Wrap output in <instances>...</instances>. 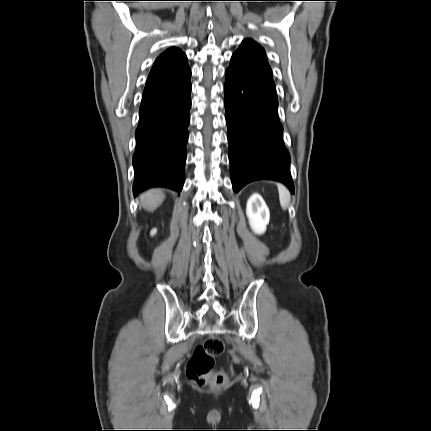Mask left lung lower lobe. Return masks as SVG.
<instances>
[{
  "mask_svg": "<svg viewBox=\"0 0 431 431\" xmlns=\"http://www.w3.org/2000/svg\"><path fill=\"white\" fill-rule=\"evenodd\" d=\"M230 174L233 190L247 183L271 179L293 193L290 155L283 142L278 100L271 77L230 65L225 73Z\"/></svg>",
  "mask_w": 431,
  "mask_h": 431,
  "instance_id": "1",
  "label": "left lung lower lobe"
}]
</instances>
